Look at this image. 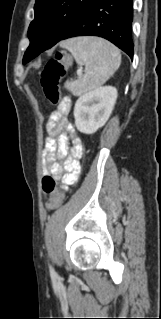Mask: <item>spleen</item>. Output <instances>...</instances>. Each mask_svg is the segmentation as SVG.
<instances>
[{"mask_svg":"<svg viewBox=\"0 0 161 319\" xmlns=\"http://www.w3.org/2000/svg\"><path fill=\"white\" fill-rule=\"evenodd\" d=\"M61 45L72 53L80 66L85 67L83 76L65 83V88L75 96L84 95L103 85L121 64L120 51L98 37H77Z\"/></svg>","mask_w":161,"mask_h":319,"instance_id":"3e777b00","label":"spleen"}]
</instances>
